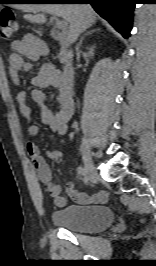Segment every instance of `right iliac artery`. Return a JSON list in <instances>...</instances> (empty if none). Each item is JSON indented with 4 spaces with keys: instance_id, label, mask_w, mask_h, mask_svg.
Returning <instances> with one entry per match:
<instances>
[{
    "instance_id": "right-iliac-artery-1",
    "label": "right iliac artery",
    "mask_w": 156,
    "mask_h": 266,
    "mask_svg": "<svg viewBox=\"0 0 156 266\" xmlns=\"http://www.w3.org/2000/svg\"><path fill=\"white\" fill-rule=\"evenodd\" d=\"M77 173H78L79 176H84L85 175L84 168L82 166H78Z\"/></svg>"
}]
</instances>
